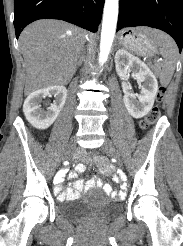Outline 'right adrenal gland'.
I'll list each match as a JSON object with an SVG mask.
<instances>
[{
    "label": "right adrenal gland",
    "instance_id": "1",
    "mask_svg": "<svg viewBox=\"0 0 183 246\" xmlns=\"http://www.w3.org/2000/svg\"><path fill=\"white\" fill-rule=\"evenodd\" d=\"M82 54H83V50L80 52L79 60H78V62H77L76 68H77L78 66H80L81 63H82Z\"/></svg>",
    "mask_w": 183,
    "mask_h": 246
}]
</instances>
